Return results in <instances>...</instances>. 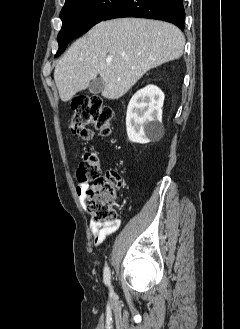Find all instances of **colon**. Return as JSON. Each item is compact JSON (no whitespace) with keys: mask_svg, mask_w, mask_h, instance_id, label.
Returning a JSON list of instances; mask_svg holds the SVG:
<instances>
[{"mask_svg":"<svg viewBox=\"0 0 240 329\" xmlns=\"http://www.w3.org/2000/svg\"><path fill=\"white\" fill-rule=\"evenodd\" d=\"M72 109L74 115L70 127L77 137L89 140L90 125H93L101 136H110L113 109L106 105L100 96L77 97L72 102ZM100 173L98 156L88 151L75 167L74 179L78 184L93 183L85 192L86 209L95 221L111 222L116 218L117 191L122 185V177L116 168L108 170L104 175Z\"/></svg>","mask_w":240,"mask_h":329,"instance_id":"1","label":"colon"}]
</instances>
